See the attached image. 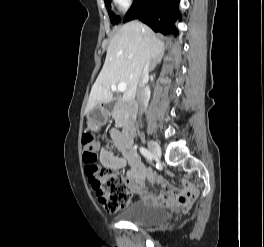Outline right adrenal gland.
<instances>
[{"label":"right adrenal gland","mask_w":264,"mask_h":247,"mask_svg":"<svg viewBox=\"0 0 264 247\" xmlns=\"http://www.w3.org/2000/svg\"><path fill=\"white\" fill-rule=\"evenodd\" d=\"M162 56L157 57L154 59L150 64V70L154 69L157 64L161 62Z\"/></svg>","instance_id":"obj_1"}]
</instances>
